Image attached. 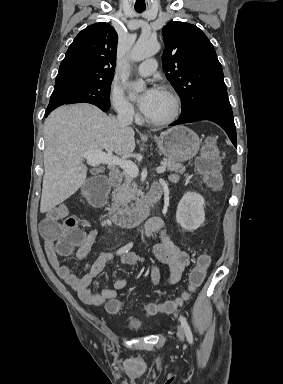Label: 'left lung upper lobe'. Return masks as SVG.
I'll use <instances>...</instances> for the list:
<instances>
[{"mask_svg":"<svg viewBox=\"0 0 283 384\" xmlns=\"http://www.w3.org/2000/svg\"><path fill=\"white\" fill-rule=\"evenodd\" d=\"M163 70L182 100L180 117L207 108L230 107L223 70L207 36L195 25L169 22Z\"/></svg>","mask_w":283,"mask_h":384,"instance_id":"obj_1","label":"left lung upper lobe"}]
</instances>
